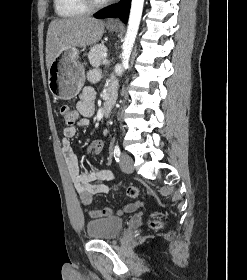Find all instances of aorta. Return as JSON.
<instances>
[{
    "label": "aorta",
    "instance_id": "aorta-1",
    "mask_svg": "<svg viewBox=\"0 0 247 280\" xmlns=\"http://www.w3.org/2000/svg\"><path fill=\"white\" fill-rule=\"evenodd\" d=\"M144 0H132L127 32L125 41L123 44L122 52V66L124 69L128 67L131 51L138 33L142 11H143Z\"/></svg>",
    "mask_w": 247,
    "mask_h": 280
}]
</instances>
